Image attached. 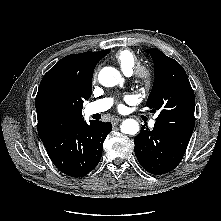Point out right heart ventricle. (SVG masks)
Segmentation results:
<instances>
[{"label":"right heart ventricle","mask_w":221,"mask_h":221,"mask_svg":"<svg viewBox=\"0 0 221 221\" xmlns=\"http://www.w3.org/2000/svg\"><path fill=\"white\" fill-rule=\"evenodd\" d=\"M115 60L126 75L132 74L138 66L136 55L128 49L119 50L115 54Z\"/></svg>","instance_id":"right-heart-ventricle-1"}]
</instances>
